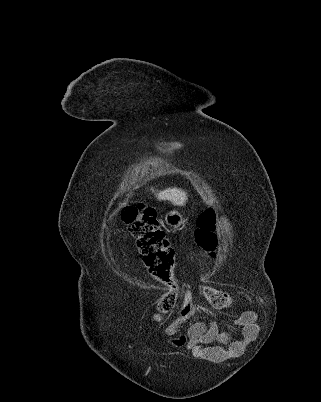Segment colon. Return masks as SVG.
I'll use <instances>...</instances> for the list:
<instances>
[{
	"mask_svg": "<svg viewBox=\"0 0 321 402\" xmlns=\"http://www.w3.org/2000/svg\"><path fill=\"white\" fill-rule=\"evenodd\" d=\"M122 220L135 238L149 273L161 283L163 288L167 287V291L157 301V316L161 317L172 312L178 298L173 278L175 252L170 240L159 226L156 210L143 205H130L124 208ZM215 228L216 214L213 209L199 215L195 241L198 247L210 256H215L218 245ZM199 291L216 309H228L232 304L231 295L224 290L212 289L210 285H201Z\"/></svg>",
	"mask_w": 321,
	"mask_h": 402,
	"instance_id": "1",
	"label": "colon"
}]
</instances>
